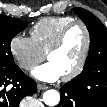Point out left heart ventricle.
<instances>
[{"mask_svg":"<svg viewBox=\"0 0 107 107\" xmlns=\"http://www.w3.org/2000/svg\"><path fill=\"white\" fill-rule=\"evenodd\" d=\"M85 44V34L81 27L72 28L62 47L51 53L48 60L55 63L63 75L71 72L79 62Z\"/></svg>","mask_w":107,"mask_h":107,"instance_id":"1","label":"left heart ventricle"}]
</instances>
